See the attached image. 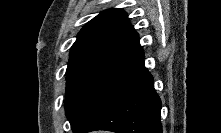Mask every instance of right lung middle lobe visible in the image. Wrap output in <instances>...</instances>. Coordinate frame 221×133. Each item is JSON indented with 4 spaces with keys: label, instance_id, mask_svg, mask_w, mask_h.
Here are the masks:
<instances>
[{
    "label": "right lung middle lobe",
    "instance_id": "obj_1",
    "mask_svg": "<svg viewBox=\"0 0 221 133\" xmlns=\"http://www.w3.org/2000/svg\"><path fill=\"white\" fill-rule=\"evenodd\" d=\"M103 72H66V101L65 110L70 124L72 125L81 104L90 90L92 84Z\"/></svg>",
    "mask_w": 221,
    "mask_h": 133
}]
</instances>
